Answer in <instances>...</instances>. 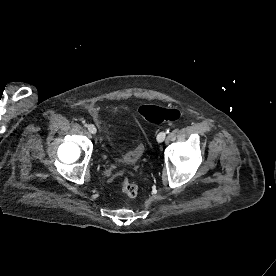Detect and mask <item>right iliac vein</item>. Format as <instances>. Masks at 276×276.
<instances>
[{
  "mask_svg": "<svg viewBox=\"0 0 276 276\" xmlns=\"http://www.w3.org/2000/svg\"><path fill=\"white\" fill-rule=\"evenodd\" d=\"M88 131L91 133V134H95L96 133V127L93 125V124H89L88 125Z\"/></svg>",
  "mask_w": 276,
  "mask_h": 276,
  "instance_id": "right-iliac-vein-1",
  "label": "right iliac vein"
}]
</instances>
